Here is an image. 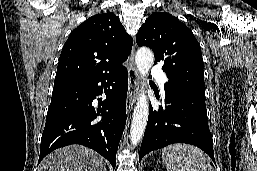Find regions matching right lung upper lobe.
<instances>
[{
  "mask_svg": "<svg viewBox=\"0 0 257 171\" xmlns=\"http://www.w3.org/2000/svg\"><path fill=\"white\" fill-rule=\"evenodd\" d=\"M132 42L115 14L107 12L90 17L65 42L54 86L113 72L127 60Z\"/></svg>",
  "mask_w": 257,
  "mask_h": 171,
  "instance_id": "cb5924a9",
  "label": "right lung upper lobe"
}]
</instances>
